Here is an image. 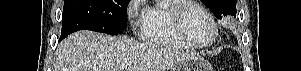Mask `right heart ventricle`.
Listing matches in <instances>:
<instances>
[{"label":"right heart ventricle","mask_w":301,"mask_h":71,"mask_svg":"<svg viewBox=\"0 0 301 71\" xmlns=\"http://www.w3.org/2000/svg\"><path fill=\"white\" fill-rule=\"evenodd\" d=\"M179 2L181 1H160L146 10V17L141 26L143 40L170 49L188 50L191 48L177 35L170 16V6Z\"/></svg>","instance_id":"1"}]
</instances>
